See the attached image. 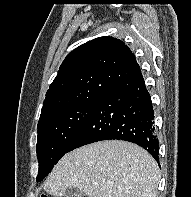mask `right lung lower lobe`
I'll return each mask as SVG.
<instances>
[{
    "mask_svg": "<svg viewBox=\"0 0 191 197\" xmlns=\"http://www.w3.org/2000/svg\"><path fill=\"white\" fill-rule=\"evenodd\" d=\"M109 139L135 143L159 162L154 110L141 73L115 84L104 93L67 152Z\"/></svg>",
    "mask_w": 191,
    "mask_h": 197,
    "instance_id": "right-lung-lower-lobe-1",
    "label": "right lung lower lobe"
}]
</instances>
